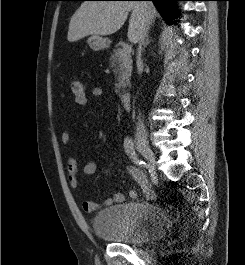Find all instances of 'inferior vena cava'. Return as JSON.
I'll list each match as a JSON object with an SVG mask.
<instances>
[{
	"instance_id": "inferior-vena-cava-1",
	"label": "inferior vena cava",
	"mask_w": 245,
	"mask_h": 265,
	"mask_svg": "<svg viewBox=\"0 0 245 265\" xmlns=\"http://www.w3.org/2000/svg\"><path fill=\"white\" fill-rule=\"evenodd\" d=\"M141 8H142V21H141V27L139 31V37H138V49H137V69L140 71L143 67V63L141 60V52H142V46H144L146 34L149 30V26L152 22V14L150 11V2H140ZM137 132L138 134H142L145 132V126L143 121L139 119V122L137 123Z\"/></svg>"
}]
</instances>
